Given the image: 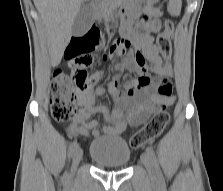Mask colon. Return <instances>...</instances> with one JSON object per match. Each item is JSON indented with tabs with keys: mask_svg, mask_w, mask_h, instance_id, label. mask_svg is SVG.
<instances>
[{
	"mask_svg": "<svg viewBox=\"0 0 223 191\" xmlns=\"http://www.w3.org/2000/svg\"><path fill=\"white\" fill-rule=\"evenodd\" d=\"M174 33V24L171 20L165 21L164 30L158 35L157 46L159 53L166 62H160L159 66H151L146 63L143 57L136 54L140 72L138 75V85H147L152 72L160 78H170L175 63L171 55V39ZM101 33L98 29L92 28L83 35L75 36L71 39L65 50V58L68 60V67L71 74L58 71L53 78L50 87L51 113L56 121L65 122L76 116V92L84 93L88 91L102 76L89 74V69L94 64L92 52L100 44ZM131 42L121 37L116 40L110 49V55L117 52L131 51ZM162 67V68H161ZM169 120V114L165 109L158 110L149 122L130 138V145L134 149L144 147L157 137L165 128Z\"/></svg>",
	"mask_w": 223,
	"mask_h": 191,
	"instance_id": "5ec220e1",
	"label": "colon"
}]
</instances>
